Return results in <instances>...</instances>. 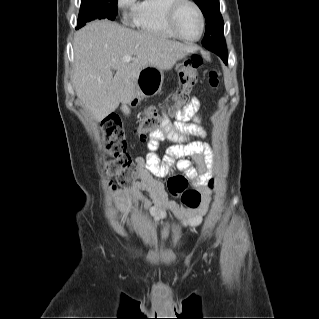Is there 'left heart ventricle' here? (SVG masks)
I'll return each instance as SVG.
<instances>
[{
  "label": "left heart ventricle",
  "mask_w": 319,
  "mask_h": 319,
  "mask_svg": "<svg viewBox=\"0 0 319 319\" xmlns=\"http://www.w3.org/2000/svg\"><path fill=\"white\" fill-rule=\"evenodd\" d=\"M176 26L179 32L187 38H195L200 31V22L195 9L184 5L178 12Z\"/></svg>",
  "instance_id": "1"
}]
</instances>
